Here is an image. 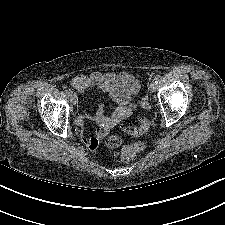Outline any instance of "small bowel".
<instances>
[{"label": "small bowel", "instance_id": "c3829d8e", "mask_svg": "<svg viewBox=\"0 0 225 225\" xmlns=\"http://www.w3.org/2000/svg\"><path fill=\"white\" fill-rule=\"evenodd\" d=\"M72 85L79 91L84 92L87 89H100L104 92H110L113 85H123L130 93H136L140 88L139 81L131 74L122 73H101L93 72L90 75H76L72 79ZM89 117L87 113H81L76 117L75 123L80 129L81 137L84 144L90 148L95 149L98 145L97 137H86L83 134V126L85 120ZM97 120L102 124L103 127L109 126L110 122L102 117V106L97 111ZM102 129H99L100 134Z\"/></svg>", "mask_w": 225, "mask_h": 225}]
</instances>
